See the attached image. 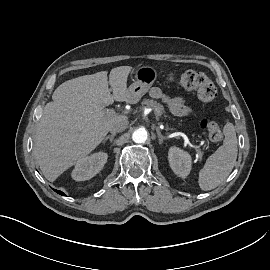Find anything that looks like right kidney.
Listing matches in <instances>:
<instances>
[{"label":"right kidney","instance_id":"ca27d5eb","mask_svg":"<svg viewBox=\"0 0 270 270\" xmlns=\"http://www.w3.org/2000/svg\"><path fill=\"white\" fill-rule=\"evenodd\" d=\"M108 155L105 152L93 153L90 156L78 160L73 171L72 178L76 181H85L99 173L107 162Z\"/></svg>","mask_w":270,"mask_h":270}]
</instances>
